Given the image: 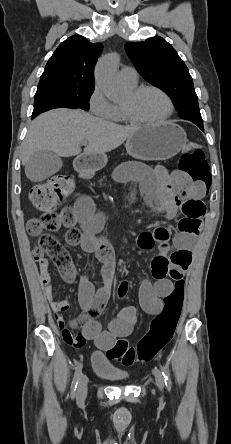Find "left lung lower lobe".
Wrapping results in <instances>:
<instances>
[{
	"label": "left lung lower lobe",
	"mask_w": 231,
	"mask_h": 444,
	"mask_svg": "<svg viewBox=\"0 0 231 444\" xmlns=\"http://www.w3.org/2000/svg\"><path fill=\"white\" fill-rule=\"evenodd\" d=\"M202 131L204 130L203 124H196Z\"/></svg>",
	"instance_id": "obj_1"
}]
</instances>
